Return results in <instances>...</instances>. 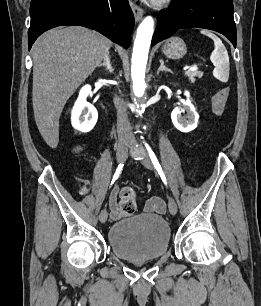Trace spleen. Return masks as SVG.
Masks as SVG:
<instances>
[{"mask_svg":"<svg viewBox=\"0 0 261 306\" xmlns=\"http://www.w3.org/2000/svg\"><path fill=\"white\" fill-rule=\"evenodd\" d=\"M203 35L208 36L214 41V50L211 53L210 60L215 66L213 70V76L220 80L221 82H227L229 78V56L228 52L220 40L216 35L211 33L210 31L203 30L201 31Z\"/></svg>","mask_w":261,"mask_h":306,"instance_id":"spleen-1","label":"spleen"}]
</instances>
